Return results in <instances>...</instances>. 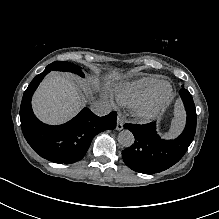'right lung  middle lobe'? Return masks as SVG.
I'll use <instances>...</instances> for the list:
<instances>
[{
  "instance_id": "obj_1",
  "label": "right lung middle lobe",
  "mask_w": 219,
  "mask_h": 219,
  "mask_svg": "<svg viewBox=\"0 0 219 219\" xmlns=\"http://www.w3.org/2000/svg\"><path fill=\"white\" fill-rule=\"evenodd\" d=\"M47 70L68 71L76 73L83 77V72L80 67L67 61H55L46 67Z\"/></svg>"
}]
</instances>
